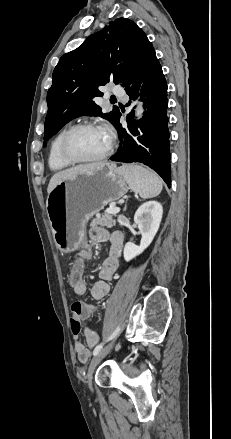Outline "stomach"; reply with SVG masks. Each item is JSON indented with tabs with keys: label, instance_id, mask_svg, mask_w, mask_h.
Listing matches in <instances>:
<instances>
[{
	"label": "stomach",
	"instance_id": "0dacf381",
	"mask_svg": "<svg viewBox=\"0 0 231 439\" xmlns=\"http://www.w3.org/2000/svg\"><path fill=\"white\" fill-rule=\"evenodd\" d=\"M128 189L125 177L108 162L57 184L46 201L56 247L63 253L76 251L88 220L108 203L122 198Z\"/></svg>",
	"mask_w": 231,
	"mask_h": 439
}]
</instances>
